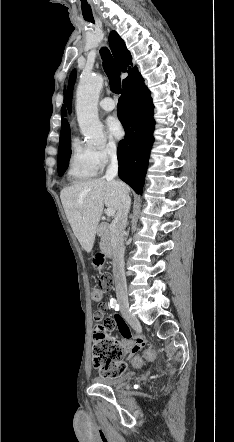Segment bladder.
Instances as JSON below:
<instances>
[{
    "instance_id": "31cf9c89",
    "label": "bladder",
    "mask_w": 234,
    "mask_h": 442,
    "mask_svg": "<svg viewBox=\"0 0 234 442\" xmlns=\"http://www.w3.org/2000/svg\"><path fill=\"white\" fill-rule=\"evenodd\" d=\"M130 373H122L117 377H98L95 382L107 387H116L130 377Z\"/></svg>"
}]
</instances>
